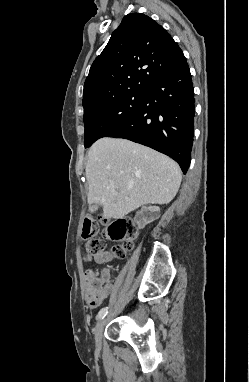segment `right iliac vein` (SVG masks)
I'll use <instances>...</instances> for the list:
<instances>
[{"label": "right iliac vein", "mask_w": 249, "mask_h": 382, "mask_svg": "<svg viewBox=\"0 0 249 382\" xmlns=\"http://www.w3.org/2000/svg\"><path fill=\"white\" fill-rule=\"evenodd\" d=\"M106 325V319H101L95 326L94 336L95 342L99 346L101 344L102 333Z\"/></svg>", "instance_id": "obj_1"}]
</instances>
